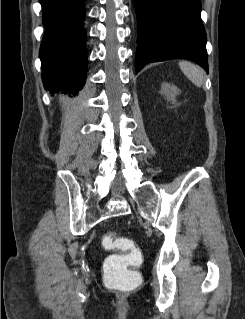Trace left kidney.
<instances>
[{"instance_id": "left-kidney-1", "label": "left kidney", "mask_w": 245, "mask_h": 319, "mask_svg": "<svg viewBox=\"0 0 245 319\" xmlns=\"http://www.w3.org/2000/svg\"><path fill=\"white\" fill-rule=\"evenodd\" d=\"M180 90L169 83H163L161 87V94H164L168 101H171L172 104L176 102V96L179 94Z\"/></svg>"}]
</instances>
